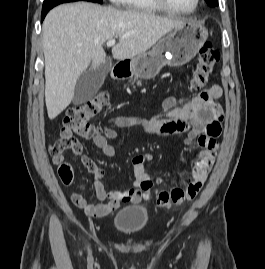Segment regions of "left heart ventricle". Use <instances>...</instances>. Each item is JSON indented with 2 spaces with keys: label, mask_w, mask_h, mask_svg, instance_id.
<instances>
[{
  "label": "left heart ventricle",
  "mask_w": 265,
  "mask_h": 269,
  "mask_svg": "<svg viewBox=\"0 0 265 269\" xmlns=\"http://www.w3.org/2000/svg\"><path fill=\"white\" fill-rule=\"evenodd\" d=\"M172 7L181 10H190L195 4V0H166Z\"/></svg>",
  "instance_id": "b2bd125f"
}]
</instances>
